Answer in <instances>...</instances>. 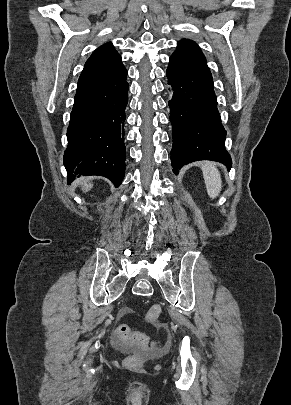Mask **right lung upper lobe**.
Listing matches in <instances>:
<instances>
[{
	"label": "right lung upper lobe",
	"instance_id": "cb5924a9",
	"mask_svg": "<svg viewBox=\"0 0 291 405\" xmlns=\"http://www.w3.org/2000/svg\"><path fill=\"white\" fill-rule=\"evenodd\" d=\"M125 70L121 56L111 43L96 49L85 63L78 80L77 91L113 79Z\"/></svg>",
	"mask_w": 291,
	"mask_h": 405
}]
</instances>
